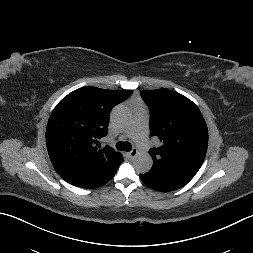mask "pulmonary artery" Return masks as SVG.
<instances>
[{
	"label": "pulmonary artery",
	"mask_w": 253,
	"mask_h": 253,
	"mask_svg": "<svg viewBox=\"0 0 253 253\" xmlns=\"http://www.w3.org/2000/svg\"><path fill=\"white\" fill-rule=\"evenodd\" d=\"M147 114L145 112L137 118L136 122L127 131V134L132 136L140 149L147 151L151 147V143L147 137Z\"/></svg>",
	"instance_id": "obj_1"
}]
</instances>
